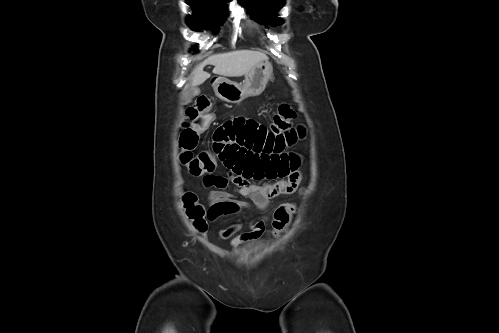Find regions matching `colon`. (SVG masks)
Wrapping results in <instances>:
<instances>
[{
    "label": "colon",
    "mask_w": 499,
    "mask_h": 333,
    "mask_svg": "<svg viewBox=\"0 0 499 333\" xmlns=\"http://www.w3.org/2000/svg\"><path fill=\"white\" fill-rule=\"evenodd\" d=\"M211 103L205 97L199 98L196 103L189 107L187 114L192 120L186 125L180 134V154L179 160L190 174L198 176L205 172H211L215 167L214 156L209 152H202L195 155L194 151L199 143L200 133L208 126L209 116L205 113L209 111ZM296 113L288 103L280 104L274 113L270 130L276 134L287 132L292 127ZM183 203L186 213L192 221L194 227L199 231H205L207 227V213L204 206L198 201L193 193H185ZM297 211L295 204H282L274 212L273 228L275 234L285 230L291 223Z\"/></svg>",
    "instance_id": "1"
}]
</instances>
